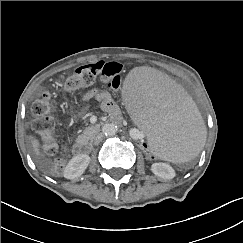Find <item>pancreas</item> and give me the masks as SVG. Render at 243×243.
<instances>
[{"mask_svg": "<svg viewBox=\"0 0 243 243\" xmlns=\"http://www.w3.org/2000/svg\"><path fill=\"white\" fill-rule=\"evenodd\" d=\"M98 132H99L98 127L89 126L83 131L81 135L78 136L77 141L85 142V143L92 141Z\"/></svg>", "mask_w": 243, "mask_h": 243, "instance_id": "obj_1", "label": "pancreas"}]
</instances>
